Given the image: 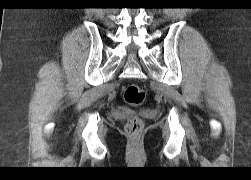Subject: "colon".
Wrapping results in <instances>:
<instances>
[{
    "label": "colon",
    "mask_w": 251,
    "mask_h": 180,
    "mask_svg": "<svg viewBox=\"0 0 251 180\" xmlns=\"http://www.w3.org/2000/svg\"><path fill=\"white\" fill-rule=\"evenodd\" d=\"M124 100L127 104L137 107L145 100V91L137 84H129L124 89ZM143 129L142 120L137 116L128 119L125 130L131 137H137Z\"/></svg>",
    "instance_id": "1"
}]
</instances>
